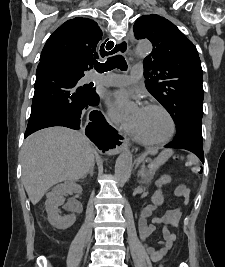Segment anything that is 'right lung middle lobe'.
<instances>
[{"label": "right lung middle lobe", "instance_id": "right-lung-middle-lobe-1", "mask_svg": "<svg viewBox=\"0 0 225 267\" xmlns=\"http://www.w3.org/2000/svg\"><path fill=\"white\" fill-rule=\"evenodd\" d=\"M83 88L86 90L88 94H90L95 101L99 100L98 94L95 92V88L89 85H83Z\"/></svg>", "mask_w": 225, "mask_h": 267}]
</instances>
